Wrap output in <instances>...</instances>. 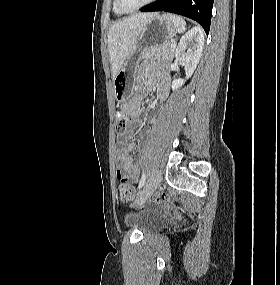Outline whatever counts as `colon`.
<instances>
[{"mask_svg":"<svg viewBox=\"0 0 280 285\" xmlns=\"http://www.w3.org/2000/svg\"><path fill=\"white\" fill-rule=\"evenodd\" d=\"M134 118L132 114L124 109H117L115 112V131L118 135H121L125 132L132 124ZM119 195L121 200L128 202L134 198V190L130 183L126 180H123L119 184ZM164 195L159 196L155 199L156 202L161 203L166 201Z\"/></svg>","mask_w":280,"mask_h":285,"instance_id":"colon-1","label":"colon"}]
</instances>
